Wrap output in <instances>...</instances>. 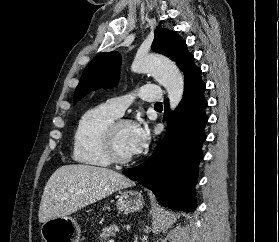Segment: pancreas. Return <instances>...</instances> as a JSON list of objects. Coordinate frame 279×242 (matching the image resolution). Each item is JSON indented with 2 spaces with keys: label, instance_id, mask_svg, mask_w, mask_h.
Instances as JSON below:
<instances>
[{
  "label": "pancreas",
  "instance_id": "cf45deb5",
  "mask_svg": "<svg viewBox=\"0 0 279 242\" xmlns=\"http://www.w3.org/2000/svg\"><path fill=\"white\" fill-rule=\"evenodd\" d=\"M120 229L116 224H111L105 228H103L102 233L98 235V239L101 242H104L109 239V237H114Z\"/></svg>",
  "mask_w": 279,
  "mask_h": 242
}]
</instances>
